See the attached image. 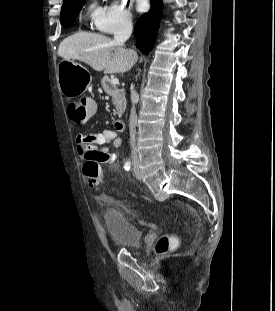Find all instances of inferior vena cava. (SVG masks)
Segmentation results:
<instances>
[{"label":"inferior vena cava","mask_w":275,"mask_h":311,"mask_svg":"<svg viewBox=\"0 0 275 311\" xmlns=\"http://www.w3.org/2000/svg\"><path fill=\"white\" fill-rule=\"evenodd\" d=\"M132 33V22L130 20H125L117 27V29L114 32V42L117 45L123 46L124 43L129 39L130 35ZM131 101H132V109H131V115H130V143L132 147V158L133 160H137V153H136V146H135V135H136V121H137V115L135 110V104L138 101V94L136 91L131 89Z\"/></svg>","instance_id":"inferior-vena-cava-1"}]
</instances>
